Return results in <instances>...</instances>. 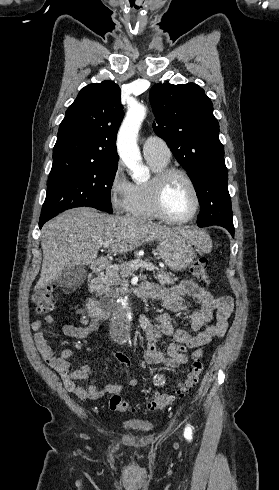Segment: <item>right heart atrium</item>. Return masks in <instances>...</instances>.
I'll list each match as a JSON object with an SVG mask.
<instances>
[{"instance_id": "1", "label": "right heart atrium", "mask_w": 279, "mask_h": 490, "mask_svg": "<svg viewBox=\"0 0 279 490\" xmlns=\"http://www.w3.org/2000/svg\"><path fill=\"white\" fill-rule=\"evenodd\" d=\"M134 187L122 164L118 162L108 184L109 203L114 213L121 216L129 213L134 203Z\"/></svg>"}]
</instances>
